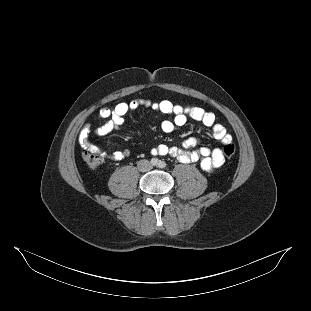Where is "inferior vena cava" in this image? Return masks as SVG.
<instances>
[{
  "instance_id": "inferior-vena-cava-1",
  "label": "inferior vena cava",
  "mask_w": 311,
  "mask_h": 311,
  "mask_svg": "<svg viewBox=\"0 0 311 311\" xmlns=\"http://www.w3.org/2000/svg\"><path fill=\"white\" fill-rule=\"evenodd\" d=\"M137 168L141 172H146L152 168V165L148 160H141L138 162Z\"/></svg>"
}]
</instances>
